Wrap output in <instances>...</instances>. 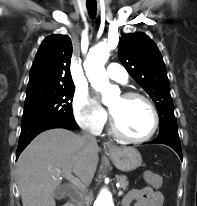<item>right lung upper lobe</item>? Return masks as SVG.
Wrapping results in <instances>:
<instances>
[{
    "label": "right lung upper lobe",
    "mask_w": 197,
    "mask_h": 206,
    "mask_svg": "<svg viewBox=\"0 0 197 206\" xmlns=\"http://www.w3.org/2000/svg\"><path fill=\"white\" fill-rule=\"evenodd\" d=\"M71 39L52 35L43 40L30 70L27 89L74 85L70 74Z\"/></svg>",
    "instance_id": "right-lung-upper-lobe-1"
}]
</instances>
